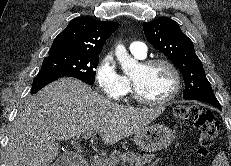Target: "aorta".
Wrapping results in <instances>:
<instances>
[{"label": "aorta", "mask_w": 231, "mask_h": 166, "mask_svg": "<svg viewBox=\"0 0 231 166\" xmlns=\"http://www.w3.org/2000/svg\"><path fill=\"white\" fill-rule=\"evenodd\" d=\"M115 56L120 63L123 72L127 75L131 74L139 67L138 61L129 55L126 48L122 44L116 46Z\"/></svg>", "instance_id": "obj_1"}]
</instances>
